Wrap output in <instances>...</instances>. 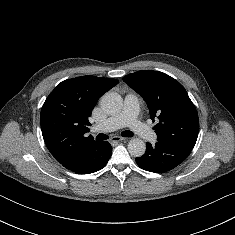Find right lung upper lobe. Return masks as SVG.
I'll return each instance as SVG.
<instances>
[{"label": "right lung upper lobe", "mask_w": 235, "mask_h": 235, "mask_svg": "<svg viewBox=\"0 0 235 235\" xmlns=\"http://www.w3.org/2000/svg\"><path fill=\"white\" fill-rule=\"evenodd\" d=\"M118 84L113 78L81 76L58 84L45 100L41 110V130L54 158L71 167L84 149L96 141L85 137L98 99Z\"/></svg>", "instance_id": "obj_1"}]
</instances>
